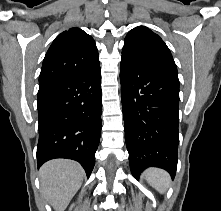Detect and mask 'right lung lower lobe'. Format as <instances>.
Segmentation results:
<instances>
[{
    "label": "right lung lower lobe",
    "instance_id": "98d812e1",
    "mask_svg": "<svg viewBox=\"0 0 221 211\" xmlns=\"http://www.w3.org/2000/svg\"><path fill=\"white\" fill-rule=\"evenodd\" d=\"M38 168L54 158L78 161L90 176L101 133L100 65L39 86Z\"/></svg>",
    "mask_w": 221,
    "mask_h": 211
}]
</instances>
